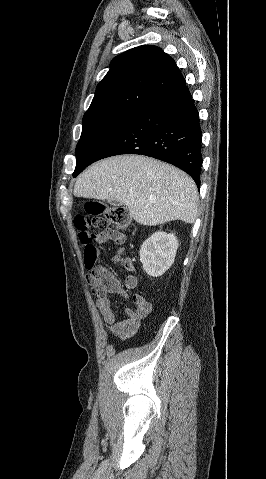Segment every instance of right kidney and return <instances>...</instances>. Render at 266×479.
Segmentation results:
<instances>
[{
    "mask_svg": "<svg viewBox=\"0 0 266 479\" xmlns=\"http://www.w3.org/2000/svg\"><path fill=\"white\" fill-rule=\"evenodd\" d=\"M178 248V240L173 233L158 231L142 244L140 262L143 270L152 277H159L174 262Z\"/></svg>",
    "mask_w": 266,
    "mask_h": 479,
    "instance_id": "right-kidney-1",
    "label": "right kidney"
}]
</instances>
